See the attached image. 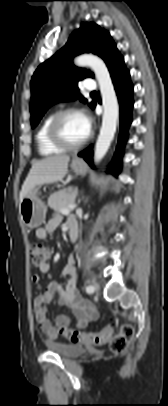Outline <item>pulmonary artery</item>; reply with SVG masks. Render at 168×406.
I'll list each match as a JSON object with an SVG mask.
<instances>
[{
    "label": "pulmonary artery",
    "instance_id": "1",
    "mask_svg": "<svg viewBox=\"0 0 168 406\" xmlns=\"http://www.w3.org/2000/svg\"><path fill=\"white\" fill-rule=\"evenodd\" d=\"M84 88L86 90H89V91L95 90L96 89V82L91 78H87L85 80Z\"/></svg>",
    "mask_w": 168,
    "mask_h": 406
}]
</instances>
